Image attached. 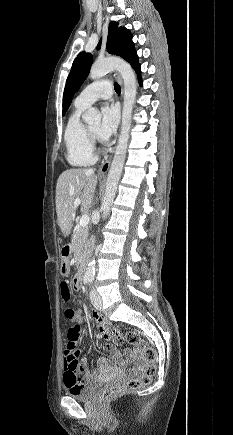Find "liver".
Instances as JSON below:
<instances>
[{"label": "liver", "mask_w": 233, "mask_h": 435, "mask_svg": "<svg viewBox=\"0 0 233 435\" xmlns=\"http://www.w3.org/2000/svg\"><path fill=\"white\" fill-rule=\"evenodd\" d=\"M98 177L93 168L65 170L56 185V212L59 227L64 237L69 236L76 207L75 199H81V211H87L92 204Z\"/></svg>", "instance_id": "1"}]
</instances>
